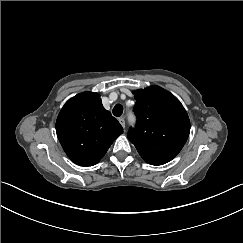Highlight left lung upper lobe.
Segmentation results:
<instances>
[{"label": "left lung upper lobe", "mask_w": 243, "mask_h": 243, "mask_svg": "<svg viewBox=\"0 0 243 243\" xmlns=\"http://www.w3.org/2000/svg\"><path fill=\"white\" fill-rule=\"evenodd\" d=\"M137 116L135 128L128 139L141 157L151 165L172 160L186 143L190 121L180 101L159 86L134 91Z\"/></svg>", "instance_id": "left-lung-upper-lobe-1"}]
</instances>
